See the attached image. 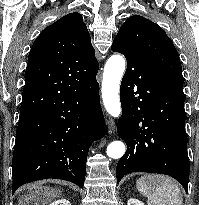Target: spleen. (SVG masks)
<instances>
[{"label":"spleen","instance_id":"1","mask_svg":"<svg viewBox=\"0 0 199 205\" xmlns=\"http://www.w3.org/2000/svg\"><path fill=\"white\" fill-rule=\"evenodd\" d=\"M136 187L148 198V205H183L178 184L167 176L146 174L136 181Z\"/></svg>","mask_w":199,"mask_h":205}]
</instances>
